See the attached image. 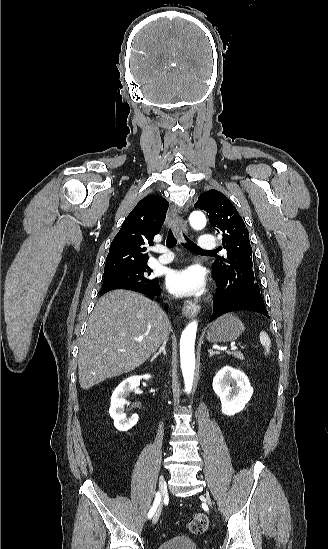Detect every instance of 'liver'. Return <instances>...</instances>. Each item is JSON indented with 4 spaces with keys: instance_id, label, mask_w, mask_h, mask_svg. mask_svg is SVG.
I'll use <instances>...</instances> for the list:
<instances>
[{
    "instance_id": "1",
    "label": "liver",
    "mask_w": 328,
    "mask_h": 549,
    "mask_svg": "<svg viewBox=\"0 0 328 549\" xmlns=\"http://www.w3.org/2000/svg\"><path fill=\"white\" fill-rule=\"evenodd\" d=\"M171 323L158 303L134 291H111L97 301L80 343L81 389L118 377L143 365L163 341ZM144 337L142 343L135 339Z\"/></svg>"
}]
</instances>
